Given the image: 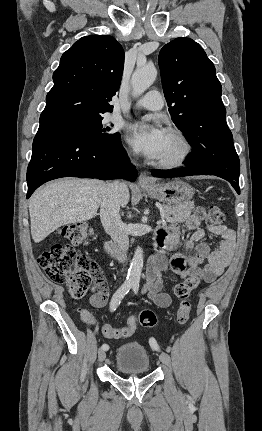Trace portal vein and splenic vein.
I'll use <instances>...</instances> for the list:
<instances>
[{"label": "portal vein and splenic vein", "instance_id": "1", "mask_svg": "<svg viewBox=\"0 0 262 431\" xmlns=\"http://www.w3.org/2000/svg\"><path fill=\"white\" fill-rule=\"evenodd\" d=\"M171 220H172L171 217H164V216L162 217L163 222H171Z\"/></svg>", "mask_w": 262, "mask_h": 431}]
</instances>
